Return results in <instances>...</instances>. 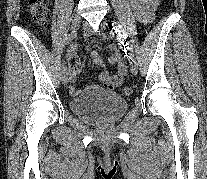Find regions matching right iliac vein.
<instances>
[{"mask_svg":"<svg viewBox=\"0 0 207 179\" xmlns=\"http://www.w3.org/2000/svg\"><path fill=\"white\" fill-rule=\"evenodd\" d=\"M80 25H81V17L75 14L72 18L71 33L76 34ZM69 80H70L69 72L66 70L65 72H63V75H62V83L64 85H67L69 83Z\"/></svg>","mask_w":207,"mask_h":179,"instance_id":"right-iliac-vein-1","label":"right iliac vein"}]
</instances>
